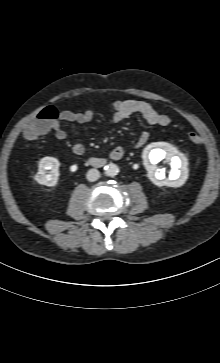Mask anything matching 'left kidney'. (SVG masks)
<instances>
[{
	"label": "left kidney",
	"instance_id": "left-kidney-1",
	"mask_svg": "<svg viewBox=\"0 0 220 363\" xmlns=\"http://www.w3.org/2000/svg\"><path fill=\"white\" fill-rule=\"evenodd\" d=\"M142 158L148 172V178L157 186L181 187L188 179L187 158L169 143L154 142L147 145L143 150ZM164 158L171 165L168 177L165 176L164 169H159L156 166Z\"/></svg>",
	"mask_w": 220,
	"mask_h": 363
}]
</instances>
